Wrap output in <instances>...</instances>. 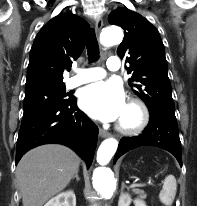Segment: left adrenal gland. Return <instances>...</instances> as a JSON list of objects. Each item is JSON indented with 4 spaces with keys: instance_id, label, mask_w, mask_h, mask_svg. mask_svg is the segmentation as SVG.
<instances>
[{
    "instance_id": "obj_1",
    "label": "left adrenal gland",
    "mask_w": 197,
    "mask_h": 206,
    "mask_svg": "<svg viewBox=\"0 0 197 206\" xmlns=\"http://www.w3.org/2000/svg\"><path fill=\"white\" fill-rule=\"evenodd\" d=\"M124 188H127V186L125 185L124 182H122L121 191H123ZM127 189H128V188H127Z\"/></svg>"
}]
</instances>
